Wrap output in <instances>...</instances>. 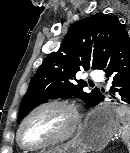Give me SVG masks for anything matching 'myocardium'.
Listing matches in <instances>:
<instances>
[{
	"mask_svg": "<svg viewBox=\"0 0 130 153\" xmlns=\"http://www.w3.org/2000/svg\"><path fill=\"white\" fill-rule=\"evenodd\" d=\"M51 106L62 107L70 113L71 123H70L68 129L61 136L54 138L50 141L44 142V143H40L37 145H29V144L24 143L22 141L21 135H22V130H23L25 124L27 123V121L39 110L46 108V107H51ZM80 122H81V114L79 112L77 105L74 102L66 100V99L48 100V101H45V102L38 104L37 106H35L32 110H30L25 115V117L22 119V121L19 125V128H18V131H17V141L23 149H27V150H40V149H44V148H47L50 146L61 144L63 142H66L67 140H69L75 134V132L77 131V129L80 125Z\"/></svg>",
	"mask_w": 130,
	"mask_h": 153,
	"instance_id": "f54148a6",
	"label": "myocardium"
}]
</instances>
